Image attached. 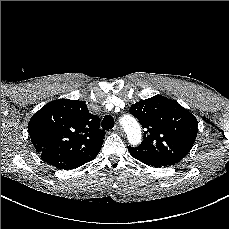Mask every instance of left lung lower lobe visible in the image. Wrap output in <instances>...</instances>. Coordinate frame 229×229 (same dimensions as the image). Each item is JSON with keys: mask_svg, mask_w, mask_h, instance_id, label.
I'll list each match as a JSON object with an SVG mask.
<instances>
[{"mask_svg": "<svg viewBox=\"0 0 229 229\" xmlns=\"http://www.w3.org/2000/svg\"><path fill=\"white\" fill-rule=\"evenodd\" d=\"M143 162V161H141ZM144 164H147L149 166L155 167V168H161V167H168L174 164H170V163H154V162H143Z\"/></svg>", "mask_w": 229, "mask_h": 229, "instance_id": "left-lung-lower-lobe-1", "label": "left lung lower lobe"}]
</instances>
